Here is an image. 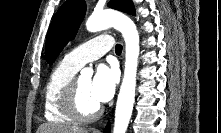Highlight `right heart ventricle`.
<instances>
[{
	"label": "right heart ventricle",
	"instance_id": "right-heart-ventricle-1",
	"mask_svg": "<svg viewBox=\"0 0 221 133\" xmlns=\"http://www.w3.org/2000/svg\"><path fill=\"white\" fill-rule=\"evenodd\" d=\"M79 68L62 60L49 74L44 88V117L56 124H70L73 120L68 117L60 105V96L64 87L75 77Z\"/></svg>",
	"mask_w": 221,
	"mask_h": 133
}]
</instances>
